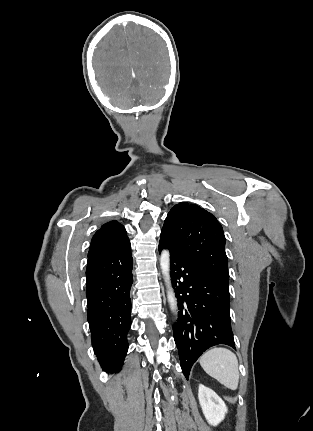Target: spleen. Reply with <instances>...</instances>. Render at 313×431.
<instances>
[{
	"label": "spleen",
	"instance_id": "3e777b00",
	"mask_svg": "<svg viewBox=\"0 0 313 431\" xmlns=\"http://www.w3.org/2000/svg\"><path fill=\"white\" fill-rule=\"evenodd\" d=\"M200 365L212 378L230 390H236L239 384L238 360L236 355L226 348H212L200 357Z\"/></svg>",
	"mask_w": 313,
	"mask_h": 431
}]
</instances>
